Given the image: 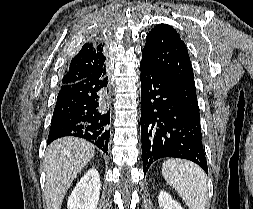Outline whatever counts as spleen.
Instances as JSON below:
<instances>
[{
    "label": "spleen",
    "instance_id": "obj_1",
    "mask_svg": "<svg viewBox=\"0 0 253 209\" xmlns=\"http://www.w3.org/2000/svg\"><path fill=\"white\" fill-rule=\"evenodd\" d=\"M162 175L189 209H205L207 177L199 166L185 160L169 159L162 165Z\"/></svg>",
    "mask_w": 253,
    "mask_h": 209
}]
</instances>
